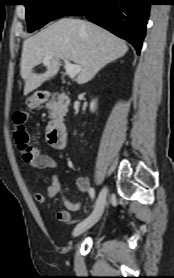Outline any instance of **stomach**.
<instances>
[{
	"instance_id": "obj_1",
	"label": "stomach",
	"mask_w": 174,
	"mask_h": 278,
	"mask_svg": "<svg viewBox=\"0 0 174 278\" xmlns=\"http://www.w3.org/2000/svg\"><path fill=\"white\" fill-rule=\"evenodd\" d=\"M27 104L29 107L35 108L40 104V102L36 99V97L34 95L27 100Z\"/></svg>"
}]
</instances>
